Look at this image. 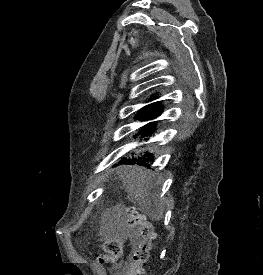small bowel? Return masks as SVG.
I'll return each instance as SVG.
<instances>
[{"label":"small bowel","instance_id":"c3829d8e","mask_svg":"<svg viewBox=\"0 0 263 275\" xmlns=\"http://www.w3.org/2000/svg\"><path fill=\"white\" fill-rule=\"evenodd\" d=\"M116 275H121V272H117Z\"/></svg>","mask_w":263,"mask_h":275}]
</instances>
